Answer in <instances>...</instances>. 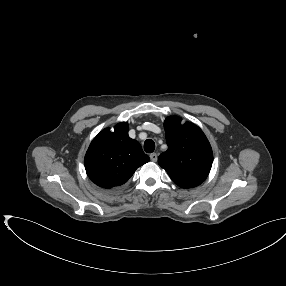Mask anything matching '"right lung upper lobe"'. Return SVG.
<instances>
[{"mask_svg":"<svg viewBox=\"0 0 286 286\" xmlns=\"http://www.w3.org/2000/svg\"><path fill=\"white\" fill-rule=\"evenodd\" d=\"M149 161L141 145L128 136V123L102 130L85 155L88 177L97 186L111 189L126 183L135 170Z\"/></svg>","mask_w":286,"mask_h":286,"instance_id":"1","label":"right lung upper lobe"}]
</instances>
